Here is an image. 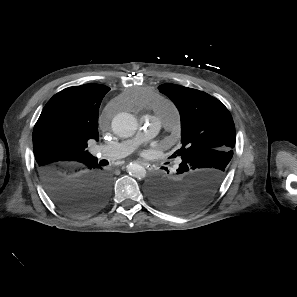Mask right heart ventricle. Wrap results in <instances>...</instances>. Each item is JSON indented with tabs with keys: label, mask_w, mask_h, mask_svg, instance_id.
<instances>
[{
	"label": "right heart ventricle",
	"mask_w": 297,
	"mask_h": 297,
	"mask_svg": "<svg viewBox=\"0 0 297 297\" xmlns=\"http://www.w3.org/2000/svg\"><path fill=\"white\" fill-rule=\"evenodd\" d=\"M157 108H160V105H157Z\"/></svg>",
	"instance_id": "1"
}]
</instances>
